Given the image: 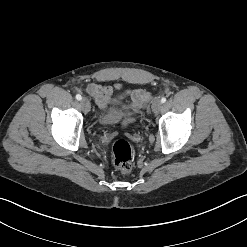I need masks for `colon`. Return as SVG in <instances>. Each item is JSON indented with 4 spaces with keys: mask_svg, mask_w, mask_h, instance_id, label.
Wrapping results in <instances>:
<instances>
[{
    "mask_svg": "<svg viewBox=\"0 0 247 247\" xmlns=\"http://www.w3.org/2000/svg\"><path fill=\"white\" fill-rule=\"evenodd\" d=\"M112 158L115 167L122 173L132 169L134 151L129 142L124 139H116L112 143Z\"/></svg>",
    "mask_w": 247,
    "mask_h": 247,
    "instance_id": "colon-1",
    "label": "colon"
}]
</instances>
